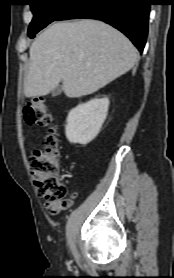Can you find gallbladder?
Returning <instances> with one entry per match:
<instances>
[{
    "label": "gallbladder",
    "instance_id": "bac80fb5",
    "mask_svg": "<svg viewBox=\"0 0 174 278\" xmlns=\"http://www.w3.org/2000/svg\"><path fill=\"white\" fill-rule=\"evenodd\" d=\"M52 96L56 97L62 93V86L58 85L55 89L52 90Z\"/></svg>",
    "mask_w": 174,
    "mask_h": 278
}]
</instances>
